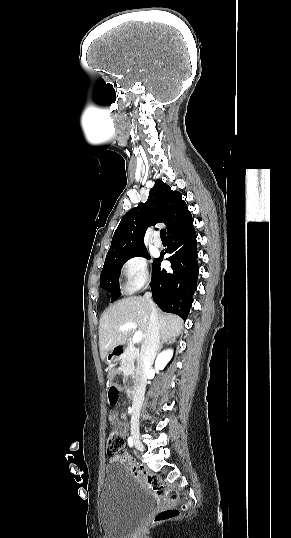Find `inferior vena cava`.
<instances>
[{"label":"inferior vena cava","mask_w":291,"mask_h":538,"mask_svg":"<svg viewBox=\"0 0 291 538\" xmlns=\"http://www.w3.org/2000/svg\"><path fill=\"white\" fill-rule=\"evenodd\" d=\"M145 298L147 299L150 306V317L146 338L141 347V371L139 385L137 387L132 403V421L138 420L139 412L143 401L144 389L147 381V374L151 369V366L156 357L160 339V326L158 321L157 309L155 307V304L151 300V293L147 292L145 294Z\"/></svg>","instance_id":"obj_1"}]
</instances>
